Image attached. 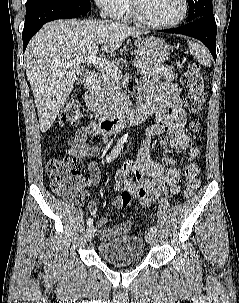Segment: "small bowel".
Instances as JSON below:
<instances>
[{
    "label": "small bowel",
    "instance_id": "c3829d8e",
    "mask_svg": "<svg viewBox=\"0 0 239 303\" xmlns=\"http://www.w3.org/2000/svg\"><path fill=\"white\" fill-rule=\"evenodd\" d=\"M178 91L177 86L159 78L143 80L140 84L142 104L151 108L157 122L147 129L137 160L125 163L117 170L113 190L116 193L122 189L128 190L143 206H150L164 192L178 194L181 191L180 170L175 163L169 161L168 167H165L150 157V146L157 136L171 134L170 147L177 152L187 150L196 141L195 137L187 134L185 130V114L178 98ZM91 135L100 136L101 143L108 141V137L99 130L97 123L91 122L75 133L69 142L68 149L69 155L86 163L89 178L84 181V185L88 187L95 186L100 179L99 167L92 160V157L100 153V148L86 143V139ZM121 207L120 198L116 197L110 209L115 210ZM87 209L95 219V225L99 229V238L103 241H110L130 228L129 222H123L113 228L106 227L108 218L96 219L97 204L93 200L89 201Z\"/></svg>",
    "mask_w": 239,
    "mask_h": 303
}]
</instances>
